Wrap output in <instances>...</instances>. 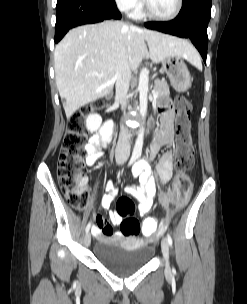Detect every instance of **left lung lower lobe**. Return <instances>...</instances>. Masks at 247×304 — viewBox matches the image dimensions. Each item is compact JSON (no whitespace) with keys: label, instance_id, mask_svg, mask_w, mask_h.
Here are the masks:
<instances>
[{"label":"left lung lower lobe","instance_id":"1","mask_svg":"<svg viewBox=\"0 0 247 304\" xmlns=\"http://www.w3.org/2000/svg\"><path fill=\"white\" fill-rule=\"evenodd\" d=\"M211 17V0H184L178 16L168 22H147L145 26L167 34L189 38L200 52L204 62L207 57V27Z\"/></svg>","mask_w":247,"mask_h":304}]
</instances>
